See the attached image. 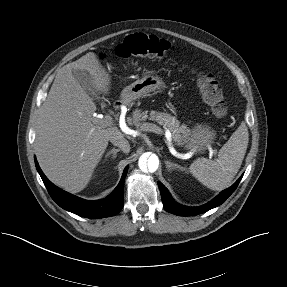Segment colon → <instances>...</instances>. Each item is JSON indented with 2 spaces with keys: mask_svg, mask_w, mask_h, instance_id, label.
Returning a JSON list of instances; mask_svg holds the SVG:
<instances>
[{
  "mask_svg": "<svg viewBox=\"0 0 287 287\" xmlns=\"http://www.w3.org/2000/svg\"><path fill=\"white\" fill-rule=\"evenodd\" d=\"M172 50V45L165 39L146 33H134L127 36L116 46L114 53L121 58L131 56L163 57ZM198 84L204 101L210 106L216 116L226 113L225 100L221 84L211 73H202Z\"/></svg>",
  "mask_w": 287,
  "mask_h": 287,
  "instance_id": "1",
  "label": "colon"
}]
</instances>
